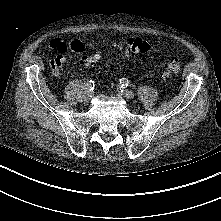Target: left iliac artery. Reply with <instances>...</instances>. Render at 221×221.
<instances>
[{"instance_id":"44dca946","label":"left iliac artery","mask_w":221,"mask_h":221,"mask_svg":"<svg viewBox=\"0 0 221 221\" xmlns=\"http://www.w3.org/2000/svg\"><path fill=\"white\" fill-rule=\"evenodd\" d=\"M120 84L123 86V87H127L129 85V80L126 79V78H122L120 80Z\"/></svg>"}]
</instances>
